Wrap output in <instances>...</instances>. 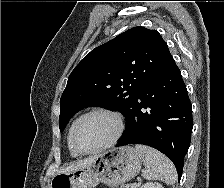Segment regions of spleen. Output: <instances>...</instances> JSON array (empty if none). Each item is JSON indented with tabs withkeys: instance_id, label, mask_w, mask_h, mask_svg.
Instances as JSON below:
<instances>
[{
	"instance_id": "obj_1",
	"label": "spleen",
	"mask_w": 224,
	"mask_h": 188,
	"mask_svg": "<svg viewBox=\"0 0 224 188\" xmlns=\"http://www.w3.org/2000/svg\"><path fill=\"white\" fill-rule=\"evenodd\" d=\"M136 151L141 155L145 171L143 177L147 180H161L168 185H174L177 171L173 163L162 153L145 145L137 144Z\"/></svg>"
}]
</instances>
